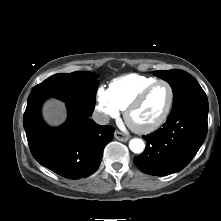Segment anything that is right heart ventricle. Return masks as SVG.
<instances>
[{"label": "right heart ventricle", "mask_w": 221, "mask_h": 221, "mask_svg": "<svg viewBox=\"0 0 221 221\" xmlns=\"http://www.w3.org/2000/svg\"><path fill=\"white\" fill-rule=\"evenodd\" d=\"M156 78L129 74L114 79L109 85L111 96L120 110H125L129 103Z\"/></svg>", "instance_id": "1"}]
</instances>
